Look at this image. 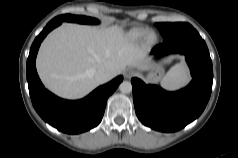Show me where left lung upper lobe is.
<instances>
[{"label": "left lung upper lobe", "mask_w": 238, "mask_h": 158, "mask_svg": "<svg viewBox=\"0 0 238 158\" xmlns=\"http://www.w3.org/2000/svg\"><path fill=\"white\" fill-rule=\"evenodd\" d=\"M156 27L160 30L164 39L170 38L171 36L193 28L188 23H156Z\"/></svg>", "instance_id": "5c2ea615"}]
</instances>
